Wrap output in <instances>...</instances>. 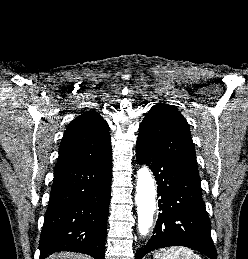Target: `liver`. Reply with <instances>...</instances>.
I'll return each mask as SVG.
<instances>
[{
  "mask_svg": "<svg viewBox=\"0 0 248 259\" xmlns=\"http://www.w3.org/2000/svg\"><path fill=\"white\" fill-rule=\"evenodd\" d=\"M47 259H92V258L84 254L60 252L49 256Z\"/></svg>",
  "mask_w": 248,
  "mask_h": 259,
  "instance_id": "6515ba94",
  "label": "liver"
}]
</instances>
